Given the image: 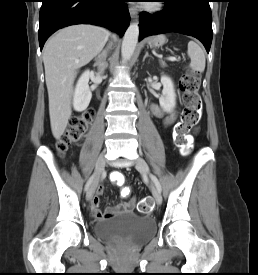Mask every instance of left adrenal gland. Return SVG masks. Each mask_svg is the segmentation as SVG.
<instances>
[{
  "instance_id": "1",
  "label": "left adrenal gland",
  "mask_w": 258,
  "mask_h": 275,
  "mask_svg": "<svg viewBox=\"0 0 258 275\" xmlns=\"http://www.w3.org/2000/svg\"><path fill=\"white\" fill-rule=\"evenodd\" d=\"M149 56V54H148V51H146V53H145V55H144V57H143V61L146 59V57H148Z\"/></svg>"
}]
</instances>
